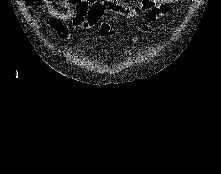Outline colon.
<instances>
[{
	"label": "colon",
	"mask_w": 221,
	"mask_h": 174,
	"mask_svg": "<svg viewBox=\"0 0 221 174\" xmlns=\"http://www.w3.org/2000/svg\"><path fill=\"white\" fill-rule=\"evenodd\" d=\"M28 3H31L33 0H26ZM102 30L104 31V32H108L109 31V26L107 25V24H104L103 26H102Z\"/></svg>",
	"instance_id": "5ec220e1"
}]
</instances>
